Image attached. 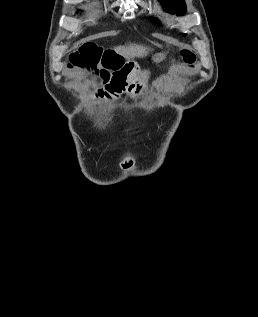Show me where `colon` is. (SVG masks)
I'll return each instance as SVG.
<instances>
[{"mask_svg": "<svg viewBox=\"0 0 258 317\" xmlns=\"http://www.w3.org/2000/svg\"><path fill=\"white\" fill-rule=\"evenodd\" d=\"M182 57L189 67L195 66L196 56L191 50L182 51ZM121 60V56L114 50L87 42L70 55L68 66L93 71L107 80L121 66Z\"/></svg>", "mask_w": 258, "mask_h": 317, "instance_id": "obj_1", "label": "colon"}]
</instances>
